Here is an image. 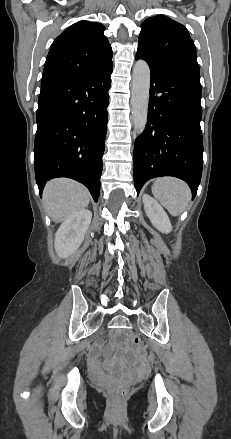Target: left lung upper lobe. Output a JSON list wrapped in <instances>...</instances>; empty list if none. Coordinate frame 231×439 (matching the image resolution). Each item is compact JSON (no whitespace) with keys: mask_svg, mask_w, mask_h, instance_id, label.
<instances>
[{"mask_svg":"<svg viewBox=\"0 0 231 439\" xmlns=\"http://www.w3.org/2000/svg\"><path fill=\"white\" fill-rule=\"evenodd\" d=\"M136 56L149 66L199 75L196 48L188 30L163 15L142 23Z\"/></svg>","mask_w":231,"mask_h":439,"instance_id":"left-lung-upper-lobe-1","label":"left lung upper lobe"}]
</instances>
